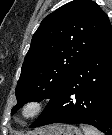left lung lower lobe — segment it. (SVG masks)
I'll return each mask as SVG.
<instances>
[{
  "label": "left lung lower lobe",
  "instance_id": "0a47b994",
  "mask_svg": "<svg viewBox=\"0 0 112 135\" xmlns=\"http://www.w3.org/2000/svg\"><path fill=\"white\" fill-rule=\"evenodd\" d=\"M89 124L105 135L112 127V26L86 54L31 128Z\"/></svg>",
  "mask_w": 112,
  "mask_h": 135
}]
</instances>
